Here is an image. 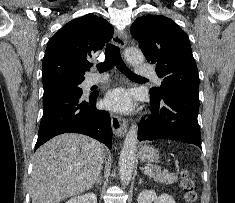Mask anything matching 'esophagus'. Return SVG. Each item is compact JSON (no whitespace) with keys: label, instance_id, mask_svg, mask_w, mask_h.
I'll return each instance as SVG.
<instances>
[{"label":"esophagus","instance_id":"esophagus-1","mask_svg":"<svg viewBox=\"0 0 235 203\" xmlns=\"http://www.w3.org/2000/svg\"><path fill=\"white\" fill-rule=\"evenodd\" d=\"M112 43L115 46L120 47V49H124L127 43V32L126 31H115L112 39ZM111 125L114 134L117 137H124L127 131V122L125 119L111 113Z\"/></svg>","mask_w":235,"mask_h":203}]
</instances>
